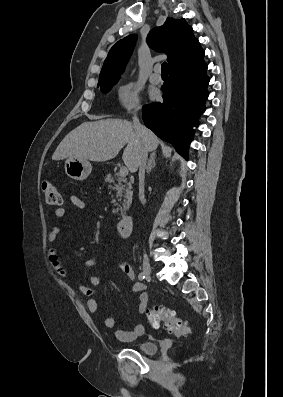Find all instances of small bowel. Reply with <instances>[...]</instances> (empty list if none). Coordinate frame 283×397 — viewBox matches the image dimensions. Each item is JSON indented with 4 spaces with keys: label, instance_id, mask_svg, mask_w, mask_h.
Instances as JSON below:
<instances>
[{
    "label": "small bowel",
    "instance_id": "small-bowel-1",
    "mask_svg": "<svg viewBox=\"0 0 283 397\" xmlns=\"http://www.w3.org/2000/svg\"><path fill=\"white\" fill-rule=\"evenodd\" d=\"M71 204L78 210L84 211L86 208L85 202L77 195H71L69 197ZM68 214V210L64 207H59L54 210V216L56 218H63ZM62 232V227L60 225H55L48 233V241L54 242L57 240ZM47 257L52 269L62 278L68 276L67 270L62 264L59 254L55 248H50L47 252ZM85 267L94 268L97 267L98 263L95 258H88L84 262ZM119 269L125 274V276L131 281V290L134 293H138V312L144 313L148 304V294L145 291V285L141 282L135 281V273L130 264L127 262H119ZM102 282L101 276H91L87 280V285L78 286V290L85 296L88 297L87 308L90 313H97L98 303L93 298L94 289L93 287L98 286ZM118 321L113 317H105L103 319V324L107 328H115ZM145 332V327L143 324L135 325L131 330L116 329L115 336L119 341L122 342H132L137 338L141 337Z\"/></svg>",
    "mask_w": 283,
    "mask_h": 397
}]
</instances>
